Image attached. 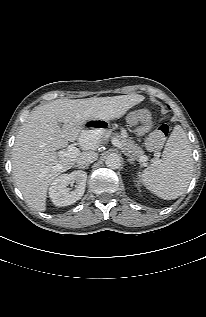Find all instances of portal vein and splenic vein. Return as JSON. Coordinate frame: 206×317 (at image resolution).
<instances>
[{"mask_svg":"<svg viewBox=\"0 0 206 317\" xmlns=\"http://www.w3.org/2000/svg\"><path fill=\"white\" fill-rule=\"evenodd\" d=\"M82 142L85 145L90 144L89 138L82 139ZM112 143L118 148L122 147L120 141L116 138H113ZM79 152H80L79 149L77 147H75L73 144H71L68 146L67 150L58 151L57 155L59 157H72L73 158V157L78 156ZM140 161L141 162L147 161V157L145 155L141 156Z\"/></svg>","mask_w":206,"mask_h":317,"instance_id":"18ae733b","label":"portal vein and splenic vein"}]
</instances>
